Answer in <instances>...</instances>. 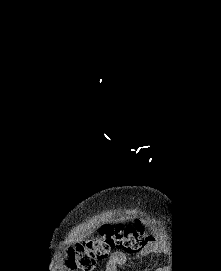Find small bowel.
Segmentation results:
<instances>
[{
	"label": "small bowel",
	"instance_id": "c3829d8e",
	"mask_svg": "<svg viewBox=\"0 0 221 271\" xmlns=\"http://www.w3.org/2000/svg\"><path fill=\"white\" fill-rule=\"evenodd\" d=\"M159 246L156 243H149L145 247L140 250L127 254L121 251H116L112 253L108 259L106 264L105 271H117L118 267L126 265L131 258L139 259L145 257L151 253H154L158 250ZM158 271H162V269H158Z\"/></svg>",
	"mask_w": 221,
	"mask_h": 271
}]
</instances>
